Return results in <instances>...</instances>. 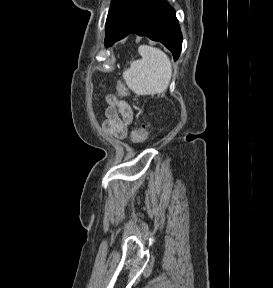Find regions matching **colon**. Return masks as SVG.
Segmentation results:
<instances>
[{
	"label": "colon",
	"instance_id": "1",
	"mask_svg": "<svg viewBox=\"0 0 273 288\" xmlns=\"http://www.w3.org/2000/svg\"><path fill=\"white\" fill-rule=\"evenodd\" d=\"M116 88L120 96L125 97L129 95V90L123 82L119 81L117 83ZM148 134L149 132H148V128L146 127V125H141L132 131L131 133L132 142L135 144H142L147 140Z\"/></svg>",
	"mask_w": 273,
	"mask_h": 288
}]
</instances>
